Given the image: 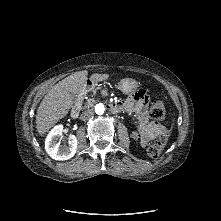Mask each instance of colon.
Returning <instances> with one entry per match:
<instances>
[{
	"instance_id": "obj_1",
	"label": "colon",
	"mask_w": 221,
	"mask_h": 221,
	"mask_svg": "<svg viewBox=\"0 0 221 221\" xmlns=\"http://www.w3.org/2000/svg\"><path fill=\"white\" fill-rule=\"evenodd\" d=\"M167 113L166 105L161 100H154L151 102L148 115L152 119L161 120L164 119ZM169 137V132L165 129L163 130L159 136L150 144L147 152L148 155L152 158H157L163 151L167 139Z\"/></svg>"
}]
</instances>
